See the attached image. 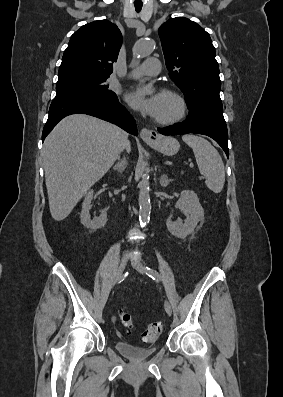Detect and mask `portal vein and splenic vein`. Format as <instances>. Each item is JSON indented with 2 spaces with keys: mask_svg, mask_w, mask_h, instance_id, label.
<instances>
[{
  "mask_svg": "<svg viewBox=\"0 0 283 397\" xmlns=\"http://www.w3.org/2000/svg\"><path fill=\"white\" fill-rule=\"evenodd\" d=\"M190 167L193 168V163H190Z\"/></svg>",
  "mask_w": 283,
  "mask_h": 397,
  "instance_id": "1",
  "label": "portal vein and splenic vein"
}]
</instances>
